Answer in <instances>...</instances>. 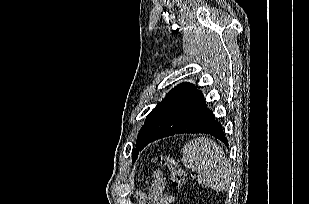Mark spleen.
Returning a JSON list of instances; mask_svg holds the SVG:
<instances>
[{
    "mask_svg": "<svg viewBox=\"0 0 309 204\" xmlns=\"http://www.w3.org/2000/svg\"><path fill=\"white\" fill-rule=\"evenodd\" d=\"M182 162L197 171L198 182L216 191H226L231 182V166L216 142L196 138L183 147Z\"/></svg>",
    "mask_w": 309,
    "mask_h": 204,
    "instance_id": "1",
    "label": "spleen"
}]
</instances>
